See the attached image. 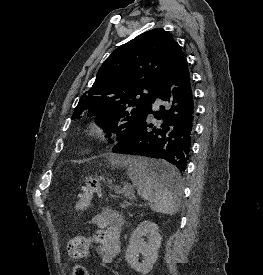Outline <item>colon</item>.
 I'll return each instance as SVG.
<instances>
[{"mask_svg":"<svg viewBox=\"0 0 263 275\" xmlns=\"http://www.w3.org/2000/svg\"><path fill=\"white\" fill-rule=\"evenodd\" d=\"M102 184L96 178H88L79 199L75 204V208L78 211L87 210L93 200L101 196ZM100 239L99 235L96 233L94 236H75L67 244V256L72 261H79L84 259L90 250L92 243L98 242ZM72 275H89L88 270L82 264H76L73 267Z\"/></svg>","mask_w":263,"mask_h":275,"instance_id":"1","label":"colon"}]
</instances>
